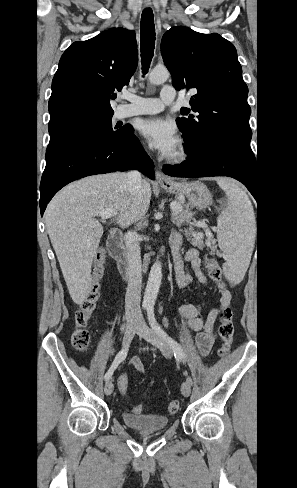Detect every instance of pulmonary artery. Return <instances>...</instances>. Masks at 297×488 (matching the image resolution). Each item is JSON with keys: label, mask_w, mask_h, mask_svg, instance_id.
Returning <instances> with one entry per match:
<instances>
[{"label": "pulmonary artery", "mask_w": 297, "mask_h": 488, "mask_svg": "<svg viewBox=\"0 0 297 488\" xmlns=\"http://www.w3.org/2000/svg\"><path fill=\"white\" fill-rule=\"evenodd\" d=\"M175 89L171 86H164L159 98H144L135 94H127L125 98L131 102L129 105L121 106L118 112L119 117H129L143 114H155L175 99Z\"/></svg>", "instance_id": "1"}]
</instances>
